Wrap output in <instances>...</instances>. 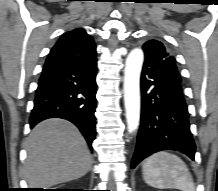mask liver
I'll return each instance as SVG.
<instances>
[{"label":"liver","instance_id":"obj_1","mask_svg":"<svg viewBox=\"0 0 218 191\" xmlns=\"http://www.w3.org/2000/svg\"><path fill=\"white\" fill-rule=\"evenodd\" d=\"M25 178L31 188H46L84 176L92 157L79 130L62 119L36 125L27 140Z\"/></svg>","mask_w":218,"mask_h":191}]
</instances>
